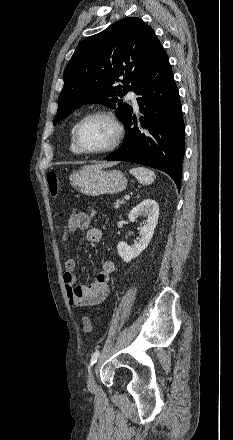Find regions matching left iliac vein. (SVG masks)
I'll list each match as a JSON object with an SVG mask.
<instances>
[{
  "label": "left iliac vein",
  "mask_w": 233,
  "mask_h": 440,
  "mask_svg": "<svg viewBox=\"0 0 233 440\" xmlns=\"http://www.w3.org/2000/svg\"><path fill=\"white\" fill-rule=\"evenodd\" d=\"M94 367H91L88 371V375H87V386L88 389L91 391H94L96 388V382H95V377H94Z\"/></svg>",
  "instance_id": "4c4485c4"
}]
</instances>
